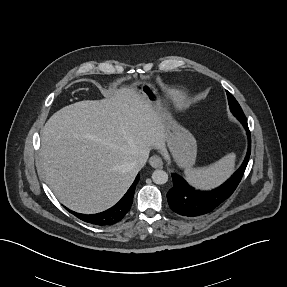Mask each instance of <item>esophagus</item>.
Masks as SVG:
<instances>
[{"mask_svg":"<svg viewBox=\"0 0 287 287\" xmlns=\"http://www.w3.org/2000/svg\"><path fill=\"white\" fill-rule=\"evenodd\" d=\"M149 163L153 168H160L163 165L162 159L157 155L151 156Z\"/></svg>","mask_w":287,"mask_h":287,"instance_id":"esophagus-1","label":"esophagus"}]
</instances>
